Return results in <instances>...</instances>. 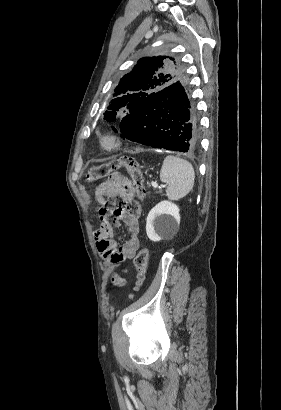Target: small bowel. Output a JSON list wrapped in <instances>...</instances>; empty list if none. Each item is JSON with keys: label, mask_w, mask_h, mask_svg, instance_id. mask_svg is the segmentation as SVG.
Returning a JSON list of instances; mask_svg holds the SVG:
<instances>
[{"label": "small bowel", "mask_w": 281, "mask_h": 410, "mask_svg": "<svg viewBox=\"0 0 281 410\" xmlns=\"http://www.w3.org/2000/svg\"><path fill=\"white\" fill-rule=\"evenodd\" d=\"M133 196V187L130 181L119 173H113L95 191L98 206V216L100 226L95 231L94 239L99 254L108 265H120L126 259L133 258L139 248V217L138 214L121 213L115 219L111 218V210L107 199L113 195ZM126 225L129 231L128 239L117 248L116 242L112 239L114 227ZM112 281L116 284H124L125 279L118 275L112 276Z\"/></svg>", "instance_id": "c3829d8e"}]
</instances>
